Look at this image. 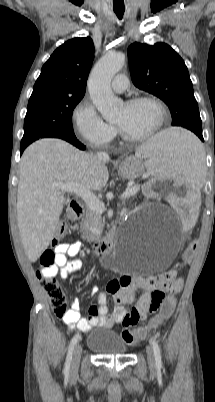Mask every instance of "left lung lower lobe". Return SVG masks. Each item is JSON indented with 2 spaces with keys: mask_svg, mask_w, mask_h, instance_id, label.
<instances>
[{
  "mask_svg": "<svg viewBox=\"0 0 215 402\" xmlns=\"http://www.w3.org/2000/svg\"><path fill=\"white\" fill-rule=\"evenodd\" d=\"M202 141H204V139H203V136L202 135H199L198 136Z\"/></svg>",
  "mask_w": 215,
  "mask_h": 402,
  "instance_id": "obj_1",
  "label": "left lung lower lobe"
}]
</instances>
